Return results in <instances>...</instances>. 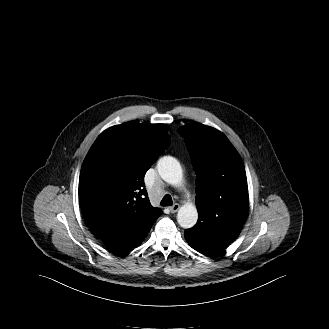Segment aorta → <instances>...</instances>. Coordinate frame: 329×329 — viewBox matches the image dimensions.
Listing matches in <instances>:
<instances>
[{
  "label": "aorta",
  "mask_w": 329,
  "mask_h": 329,
  "mask_svg": "<svg viewBox=\"0 0 329 329\" xmlns=\"http://www.w3.org/2000/svg\"><path fill=\"white\" fill-rule=\"evenodd\" d=\"M157 170L161 178L173 186H181L183 172L179 161L171 156H164L157 163ZM198 220L196 207L187 203L180 207L177 213L178 224L185 229L192 228Z\"/></svg>",
  "instance_id": "obj_1"
}]
</instances>
